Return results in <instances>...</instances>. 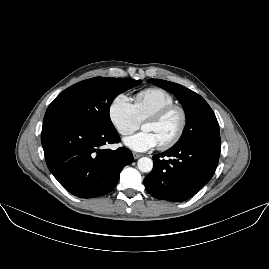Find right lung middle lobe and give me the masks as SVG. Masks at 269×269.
Masks as SVG:
<instances>
[{
	"instance_id": "obj_1",
	"label": "right lung middle lobe",
	"mask_w": 269,
	"mask_h": 269,
	"mask_svg": "<svg viewBox=\"0 0 269 269\" xmlns=\"http://www.w3.org/2000/svg\"><path fill=\"white\" fill-rule=\"evenodd\" d=\"M140 82L128 78L94 77L64 90L48 109L68 113L101 129H114L108 117L112 101Z\"/></svg>"
}]
</instances>
